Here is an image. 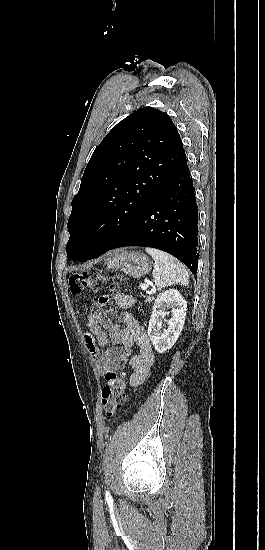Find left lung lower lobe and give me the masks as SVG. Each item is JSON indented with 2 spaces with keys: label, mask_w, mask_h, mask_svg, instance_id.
I'll return each instance as SVG.
<instances>
[{
  "label": "left lung lower lobe",
  "mask_w": 265,
  "mask_h": 550,
  "mask_svg": "<svg viewBox=\"0 0 265 550\" xmlns=\"http://www.w3.org/2000/svg\"><path fill=\"white\" fill-rule=\"evenodd\" d=\"M197 220V204L185 156L131 227L92 258L118 247H152L172 254L196 274L199 258Z\"/></svg>",
  "instance_id": "left-lung-lower-lobe-1"
}]
</instances>
